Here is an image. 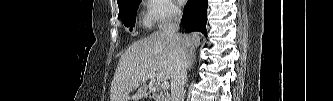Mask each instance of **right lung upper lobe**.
Returning <instances> with one entry per match:
<instances>
[{"instance_id":"obj_1","label":"right lung upper lobe","mask_w":333,"mask_h":101,"mask_svg":"<svg viewBox=\"0 0 333 101\" xmlns=\"http://www.w3.org/2000/svg\"><path fill=\"white\" fill-rule=\"evenodd\" d=\"M122 0H117V3L121 2Z\"/></svg>"}]
</instances>
